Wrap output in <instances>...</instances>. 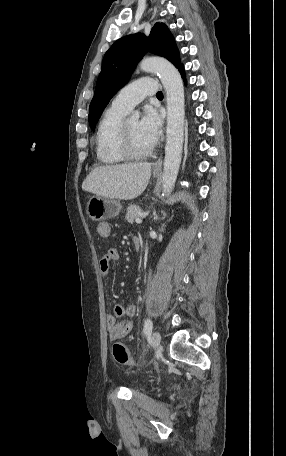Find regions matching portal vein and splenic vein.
<instances>
[{
	"instance_id": "1",
	"label": "portal vein and splenic vein",
	"mask_w": 286,
	"mask_h": 456,
	"mask_svg": "<svg viewBox=\"0 0 286 456\" xmlns=\"http://www.w3.org/2000/svg\"><path fill=\"white\" fill-rule=\"evenodd\" d=\"M147 215H148V213H145V214H143V216L141 218H136L135 222L138 224L142 223V218L146 217Z\"/></svg>"
}]
</instances>
